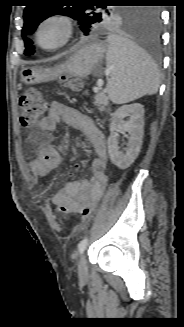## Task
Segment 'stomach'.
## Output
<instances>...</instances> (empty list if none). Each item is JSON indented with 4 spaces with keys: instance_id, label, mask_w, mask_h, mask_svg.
<instances>
[{
    "instance_id": "obj_1",
    "label": "stomach",
    "mask_w": 184,
    "mask_h": 327,
    "mask_svg": "<svg viewBox=\"0 0 184 327\" xmlns=\"http://www.w3.org/2000/svg\"><path fill=\"white\" fill-rule=\"evenodd\" d=\"M106 52L102 42H94L81 47L63 64L53 68L38 69L23 67L20 70V80L26 85L55 80L61 75L85 78L90 74L100 75L101 65Z\"/></svg>"
}]
</instances>
